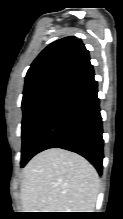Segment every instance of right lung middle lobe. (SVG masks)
Instances as JSON below:
<instances>
[{"instance_id": "obj_1", "label": "right lung middle lobe", "mask_w": 123, "mask_h": 219, "mask_svg": "<svg viewBox=\"0 0 123 219\" xmlns=\"http://www.w3.org/2000/svg\"><path fill=\"white\" fill-rule=\"evenodd\" d=\"M69 82V80H54L23 93L22 167L31 159L33 143L51 108Z\"/></svg>"}]
</instances>
